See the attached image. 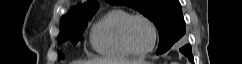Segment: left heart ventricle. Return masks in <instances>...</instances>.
Here are the masks:
<instances>
[{"mask_svg":"<svg viewBox=\"0 0 242 64\" xmlns=\"http://www.w3.org/2000/svg\"><path fill=\"white\" fill-rule=\"evenodd\" d=\"M131 45L138 51H144L151 47L153 34L149 25L142 19L134 20L128 31Z\"/></svg>","mask_w":242,"mask_h":64,"instance_id":"left-heart-ventricle-1","label":"left heart ventricle"}]
</instances>
